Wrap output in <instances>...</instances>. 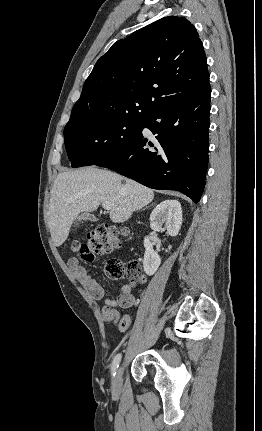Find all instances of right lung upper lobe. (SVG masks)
<instances>
[{
    "mask_svg": "<svg viewBox=\"0 0 262 431\" xmlns=\"http://www.w3.org/2000/svg\"><path fill=\"white\" fill-rule=\"evenodd\" d=\"M207 85L206 56L195 27L185 18L164 17L117 41L97 61L66 126L147 118Z\"/></svg>",
    "mask_w": 262,
    "mask_h": 431,
    "instance_id": "right-lung-upper-lobe-1",
    "label": "right lung upper lobe"
}]
</instances>
